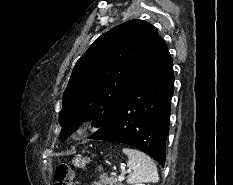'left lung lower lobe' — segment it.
Segmentation results:
<instances>
[{"mask_svg": "<svg viewBox=\"0 0 233 185\" xmlns=\"http://www.w3.org/2000/svg\"><path fill=\"white\" fill-rule=\"evenodd\" d=\"M173 89V65L167 50L136 82L114 118L90 139L129 144L164 165Z\"/></svg>", "mask_w": 233, "mask_h": 185, "instance_id": "obj_1", "label": "left lung lower lobe"}]
</instances>
